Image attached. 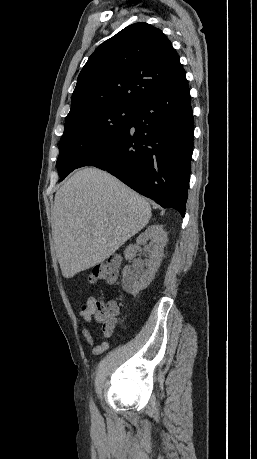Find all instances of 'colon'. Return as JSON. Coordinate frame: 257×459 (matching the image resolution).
Returning <instances> with one entry per match:
<instances>
[{"mask_svg": "<svg viewBox=\"0 0 257 459\" xmlns=\"http://www.w3.org/2000/svg\"><path fill=\"white\" fill-rule=\"evenodd\" d=\"M119 259L118 258H110L105 260L104 262L98 264L93 269L89 279L92 282L103 280L107 282H112L115 280L119 268ZM82 310H92L94 311L100 318L106 319L112 312V308L109 302L105 301H95L94 303H84L82 305Z\"/></svg>", "mask_w": 257, "mask_h": 459, "instance_id": "5ec220e1", "label": "colon"}]
</instances>
